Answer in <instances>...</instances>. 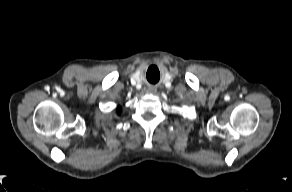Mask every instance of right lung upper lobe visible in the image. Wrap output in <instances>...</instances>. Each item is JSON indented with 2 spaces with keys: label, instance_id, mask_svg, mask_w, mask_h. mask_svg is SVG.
Returning <instances> with one entry per match:
<instances>
[{
  "label": "right lung upper lobe",
  "instance_id": "right-lung-upper-lobe-1",
  "mask_svg": "<svg viewBox=\"0 0 292 192\" xmlns=\"http://www.w3.org/2000/svg\"><path fill=\"white\" fill-rule=\"evenodd\" d=\"M120 110H121V107H120V106H118V107H117V112L119 113V112H120Z\"/></svg>",
  "mask_w": 292,
  "mask_h": 192
}]
</instances>
